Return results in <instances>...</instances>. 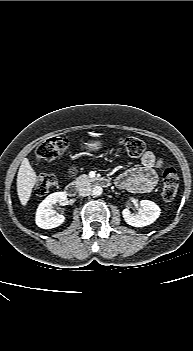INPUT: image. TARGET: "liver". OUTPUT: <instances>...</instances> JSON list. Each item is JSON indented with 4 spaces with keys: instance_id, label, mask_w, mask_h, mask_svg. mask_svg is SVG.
<instances>
[{
    "instance_id": "6515ba94",
    "label": "liver",
    "mask_w": 193,
    "mask_h": 351,
    "mask_svg": "<svg viewBox=\"0 0 193 351\" xmlns=\"http://www.w3.org/2000/svg\"><path fill=\"white\" fill-rule=\"evenodd\" d=\"M36 181V172L31 167L29 160L24 158L17 174V194L22 205L25 206L29 201Z\"/></svg>"
}]
</instances>
